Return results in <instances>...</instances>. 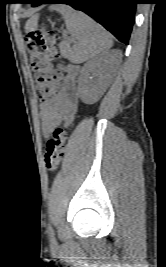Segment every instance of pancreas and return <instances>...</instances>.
<instances>
[{
    "instance_id": "pancreas-1",
    "label": "pancreas",
    "mask_w": 166,
    "mask_h": 267,
    "mask_svg": "<svg viewBox=\"0 0 166 267\" xmlns=\"http://www.w3.org/2000/svg\"><path fill=\"white\" fill-rule=\"evenodd\" d=\"M69 49H70V46H69L68 42L60 43V51H61L62 55L66 56Z\"/></svg>"
}]
</instances>
